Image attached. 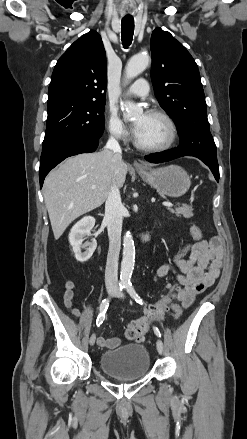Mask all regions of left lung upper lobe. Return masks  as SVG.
I'll return each mask as SVG.
<instances>
[{"instance_id": "obj_1", "label": "left lung upper lobe", "mask_w": 247, "mask_h": 439, "mask_svg": "<svg viewBox=\"0 0 247 439\" xmlns=\"http://www.w3.org/2000/svg\"><path fill=\"white\" fill-rule=\"evenodd\" d=\"M151 54L154 93L176 124L180 150L199 158L211 170H219L196 62L179 41L161 28L152 33Z\"/></svg>"}]
</instances>
